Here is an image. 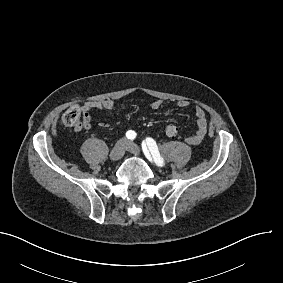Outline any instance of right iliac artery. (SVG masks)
Returning a JSON list of instances; mask_svg holds the SVG:
<instances>
[{
	"instance_id": "1",
	"label": "right iliac artery",
	"mask_w": 283,
	"mask_h": 283,
	"mask_svg": "<svg viewBox=\"0 0 283 283\" xmlns=\"http://www.w3.org/2000/svg\"><path fill=\"white\" fill-rule=\"evenodd\" d=\"M126 137H127L128 139H130V140H133V139H135V137H136V133H135L134 131H132V130H129V131H127V133H126Z\"/></svg>"
}]
</instances>
